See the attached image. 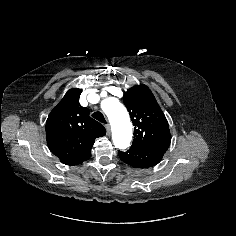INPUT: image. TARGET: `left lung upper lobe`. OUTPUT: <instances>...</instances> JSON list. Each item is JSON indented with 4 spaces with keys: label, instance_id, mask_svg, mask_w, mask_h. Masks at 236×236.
I'll return each mask as SVG.
<instances>
[{
    "label": "left lung upper lobe",
    "instance_id": "left-lung-upper-lobe-1",
    "mask_svg": "<svg viewBox=\"0 0 236 236\" xmlns=\"http://www.w3.org/2000/svg\"><path fill=\"white\" fill-rule=\"evenodd\" d=\"M134 125L131 147L168 149L171 142L169 125L154 95L146 85H137L123 96Z\"/></svg>",
    "mask_w": 236,
    "mask_h": 236
}]
</instances>
